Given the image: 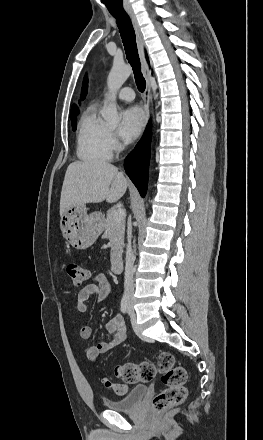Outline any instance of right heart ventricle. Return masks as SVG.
<instances>
[{
  "mask_svg": "<svg viewBox=\"0 0 263 440\" xmlns=\"http://www.w3.org/2000/svg\"><path fill=\"white\" fill-rule=\"evenodd\" d=\"M110 130L99 118L96 108H88L77 132V156L84 162H105L112 158Z\"/></svg>",
  "mask_w": 263,
  "mask_h": 440,
  "instance_id": "e07e8e85",
  "label": "right heart ventricle"
}]
</instances>
